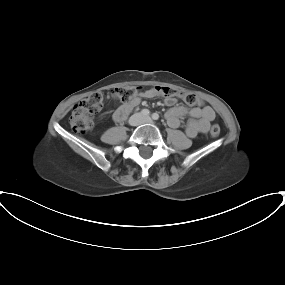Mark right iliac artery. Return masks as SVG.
Segmentation results:
<instances>
[{
    "mask_svg": "<svg viewBox=\"0 0 285 285\" xmlns=\"http://www.w3.org/2000/svg\"><path fill=\"white\" fill-rule=\"evenodd\" d=\"M141 114H142L143 116H148V115L150 114V111H149L148 109H143V110L141 111Z\"/></svg>",
    "mask_w": 285,
    "mask_h": 285,
    "instance_id": "1",
    "label": "right iliac artery"
}]
</instances>
